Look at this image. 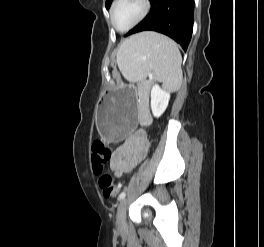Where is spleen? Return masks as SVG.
<instances>
[{"mask_svg": "<svg viewBox=\"0 0 264 247\" xmlns=\"http://www.w3.org/2000/svg\"><path fill=\"white\" fill-rule=\"evenodd\" d=\"M181 62L176 43L150 31L132 36L117 52V64L126 80L142 83L152 74L170 91H176L181 86Z\"/></svg>", "mask_w": 264, "mask_h": 247, "instance_id": "3e777b00", "label": "spleen"}]
</instances>
